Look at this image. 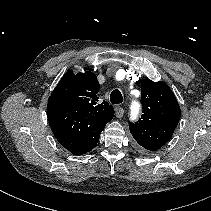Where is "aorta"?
<instances>
[{"mask_svg":"<svg viewBox=\"0 0 211 211\" xmlns=\"http://www.w3.org/2000/svg\"><path fill=\"white\" fill-rule=\"evenodd\" d=\"M131 112H130V118L131 119H136L139 111H140V104L138 101H133L131 104Z\"/></svg>","mask_w":211,"mask_h":211,"instance_id":"aorta-1","label":"aorta"}]
</instances>
